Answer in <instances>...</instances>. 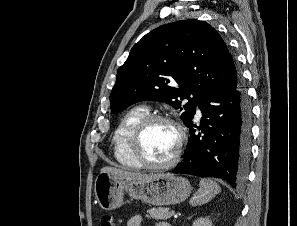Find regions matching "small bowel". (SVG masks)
Segmentation results:
<instances>
[{"label":"small bowel","instance_id":"obj_1","mask_svg":"<svg viewBox=\"0 0 297 226\" xmlns=\"http://www.w3.org/2000/svg\"><path fill=\"white\" fill-rule=\"evenodd\" d=\"M142 216L141 215H134L128 221L126 226H142ZM155 226H169L165 222H158Z\"/></svg>","mask_w":297,"mask_h":226}]
</instances>
